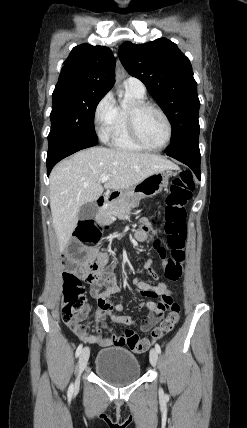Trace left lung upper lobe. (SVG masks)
Instances as JSON below:
<instances>
[{"label": "left lung upper lobe", "mask_w": 247, "mask_h": 428, "mask_svg": "<svg viewBox=\"0 0 247 428\" xmlns=\"http://www.w3.org/2000/svg\"><path fill=\"white\" fill-rule=\"evenodd\" d=\"M119 58L128 73L140 79L168 116L171 146L199 141L200 101L188 58L166 38L142 45L124 42Z\"/></svg>", "instance_id": "5c2ea615"}]
</instances>
